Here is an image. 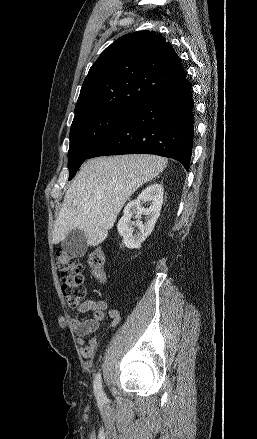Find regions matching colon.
I'll list each match as a JSON object with an SVG mask.
<instances>
[{
	"instance_id": "colon-1",
	"label": "colon",
	"mask_w": 257,
	"mask_h": 439,
	"mask_svg": "<svg viewBox=\"0 0 257 439\" xmlns=\"http://www.w3.org/2000/svg\"><path fill=\"white\" fill-rule=\"evenodd\" d=\"M104 261V253L100 248L89 254L88 264L94 276L99 280L105 279ZM56 266L63 276L61 290L67 304L70 307H77L86 294L83 284L82 264L75 256L60 250L56 254Z\"/></svg>"
}]
</instances>
